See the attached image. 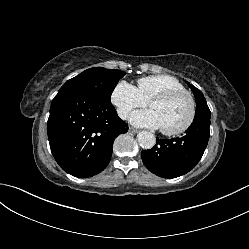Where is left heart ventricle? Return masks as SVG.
<instances>
[{
  "label": "left heart ventricle",
  "mask_w": 249,
  "mask_h": 249,
  "mask_svg": "<svg viewBox=\"0 0 249 249\" xmlns=\"http://www.w3.org/2000/svg\"><path fill=\"white\" fill-rule=\"evenodd\" d=\"M151 110L158 116L161 128L173 130L181 127L188 119L189 101L186 97H178L168 102L152 104Z\"/></svg>",
  "instance_id": "b2bd125f"
}]
</instances>
